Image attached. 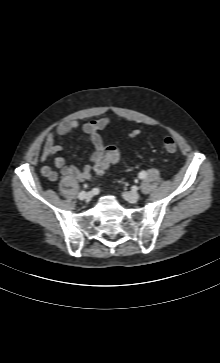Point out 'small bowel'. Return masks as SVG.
Returning <instances> with one entry per match:
<instances>
[{
	"mask_svg": "<svg viewBox=\"0 0 220 363\" xmlns=\"http://www.w3.org/2000/svg\"><path fill=\"white\" fill-rule=\"evenodd\" d=\"M109 124L108 118H96L88 122L79 124L76 120H69L61 123L54 131L48 133L41 153V161L53 160L56 169L49 165L41 168L43 177L50 181H56L60 175L78 180L91 181L94 179L98 168H106L103 162L104 141L99 131L104 129ZM81 127L86 135V141L94 146V151L90 157V162L84 168H78L73 164H67L61 157L55 155L63 149L56 144V138L64 136L71 131Z\"/></svg>",
	"mask_w": 220,
	"mask_h": 363,
	"instance_id": "c3829d8e",
	"label": "small bowel"
}]
</instances>
